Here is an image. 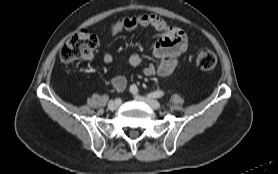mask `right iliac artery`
I'll use <instances>...</instances> for the list:
<instances>
[{"label":"right iliac artery","instance_id":"82829eb1","mask_svg":"<svg viewBox=\"0 0 278 174\" xmlns=\"http://www.w3.org/2000/svg\"><path fill=\"white\" fill-rule=\"evenodd\" d=\"M115 101L118 102V103H121V100H120V99H116Z\"/></svg>","mask_w":278,"mask_h":174}]
</instances>
